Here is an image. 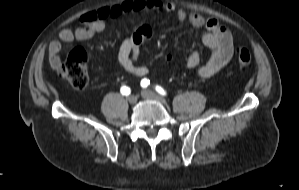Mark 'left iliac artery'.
Instances as JSON below:
<instances>
[{"instance_id": "obj_1", "label": "left iliac artery", "mask_w": 299, "mask_h": 190, "mask_svg": "<svg viewBox=\"0 0 299 190\" xmlns=\"http://www.w3.org/2000/svg\"><path fill=\"white\" fill-rule=\"evenodd\" d=\"M149 84H150V80H149V79L144 78V79L141 80V86H142L143 88L147 87ZM155 89H156V91H157L159 94H161V95H166L165 90H164L161 86H156Z\"/></svg>"}]
</instances>
